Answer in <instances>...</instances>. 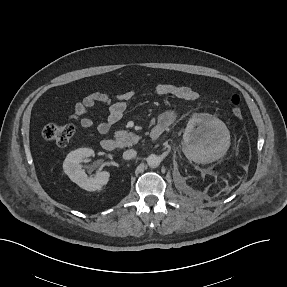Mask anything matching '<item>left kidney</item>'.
<instances>
[{
    "label": "left kidney",
    "instance_id": "5707ae66",
    "mask_svg": "<svg viewBox=\"0 0 287 287\" xmlns=\"http://www.w3.org/2000/svg\"><path fill=\"white\" fill-rule=\"evenodd\" d=\"M197 124L196 119L189 120L183 135L184 143L193 146L198 151L206 150L213 156L211 160L219 158L227 150L228 131L226 128H216L214 130L209 129L207 133L201 134L194 128Z\"/></svg>",
    "mask_w": 287,
    "mask_h": 287
}]
</instances>
